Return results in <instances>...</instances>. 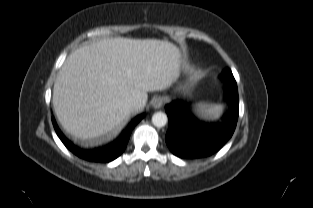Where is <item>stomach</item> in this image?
<instances>
[{
  "label": "stomach",
  "mask_w": 313,
  "mask_h": 208,
  "mask_svg": "<svg viewBox=\"0 0 313 208\" xmlns=\"http://www.w3.org/2000/svg\"><path fill=\"white\" fill-rule=\"evenodd\" d=\"M180 89L186 90V87L185 86H181Z\"/></svg>",
  "instance_id": "0dacf381"
}]
</instances>
